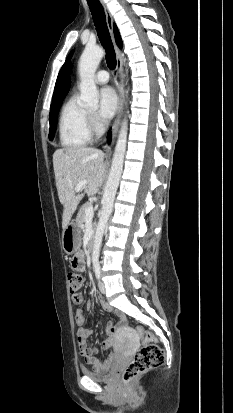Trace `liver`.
I'll list each match as a JSON object with an SVG mask.
<instances>
[{"instance_id":"obj_1","label":"liver","mask_w":233,"mask_h":413,"mask_svg":"<svg viewBox=\"0 0 233 413\" xmlns=\"http://www.w3.org/2000/svg\"><path fill=\"white\" fill-rule=\"evenodd\" d=\"M53 167L65 229L84 195H94L101 188L106 172L104 154L90 147L58 149L53 154ZM83 180H87V185L76 192L75 186Z\"/></svg>"}]
</instances>
